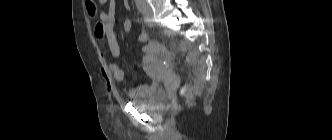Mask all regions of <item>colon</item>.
<instances>
[{"instance_id": "5ec220e1", "label": "colon", "mask_w": 332, "mask_h": 140, "mask_svg": "<svg viewBox=\"0 0 332 140\" xmlns=\"http://www.w3.org/2000/svg\"><path fill=\"white\" fill-rule=\"evenodd\" d=\"M88 5H89L90 10L93 11L94 10L93 4L91 2H89ZM121 29H122V32L124 34H130L132 32V30H133V24H132V22L130 20H124L122 22ZM185 93H186V87H182L181 88V94L184 95Z\"/></svg>"}]
</instances>
